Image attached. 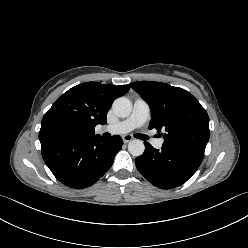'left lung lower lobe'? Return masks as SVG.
Segmentation results:
<instances>
[{
	"mask_svg": "<svg viewBox=\"0 0 248 248\" xmlns=\"http://www.w3.org/2000/svg\"><path fill=\"white\" fill-rule=\"evenodd\" d=\"M144 153L135 164L139 172L154 186L171 189L185 183L199 168L204 155L196 152L153 148L145 142Z\"/></svg>",
	"mask_w": 248,
	"mask_h": 248,
	"instance_id": "left-lung-lower-lobe-1",
	"label": "left lung lower lobe"
}]
</instances>
